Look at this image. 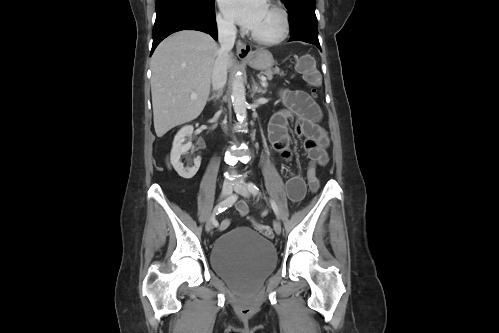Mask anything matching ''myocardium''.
I'll return each mask as SVG.
<instances>
[{"mask_svg": "<svg viewBox=\"0 0 499 333\" xmlns=\"http://www.w3.org/2000/svg\"><path fill=\"white\" fill-rule=\"evenodd\" d=\"M268 7L272 8L273 10L277 11L280 14L282 20V28L279 35L274 38H262L251 31L250 37L259 44L270 46V45L279 44L287 38L290 32L291 24L288 11L285 9L284 6L278 3H270Z\"/></svg>", "mask_w": 499, "mask_h": 333, "instance_id": "myocardium-1", "label": "myocardium"}]
</instances>
